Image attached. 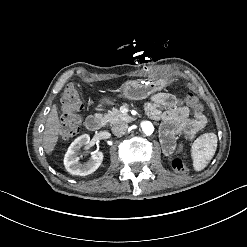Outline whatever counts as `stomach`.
I'll list each match as a JSON object with an SVG mask.
<instances>
[{
	"mask_svg": "<svg viewBox=\"0 0 247 247\" xmlns=\"http://www.w3.org/2000/svg\"><path fill=\"white\" fill-rule=\"evenodd\" d=\"M174 78H157L155 80L133 79L124 82L121 87V97L128 100H142L148 96L161 91L171 85ZM114 101L111 96L100 98L99 102L103 105H110Z\"/></svg>",
	"mask_w": 247,
	"mask_h": 247,
	"instance_id": "1",
	"label": "stomach"
}]
</instances>
